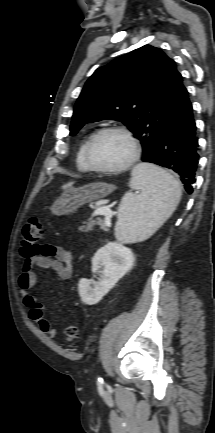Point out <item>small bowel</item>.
I'll return each mask as SVG.
<instances>
[{"instance_id": "1", "label": "small bowel", "mask_w": 215, "mask_h": 433, "mask_svg": "<svg viewBox=\"0 0 215 433\" xmlns=\"http://www.w3.org/2000/svg\"><path fill=\"white\" fill-rule=\"evenodd\" d=\"M36 268H50L61 279L72 277V253L71 251L54 245H39L31 256L23 255L21 274L18 278V286L23 295V303L29 311L30 319L35 322L40 330L51 339L57 337V330L44 315V306L30 293V290L38 283Z\"/></svg>"}]
</instances>
